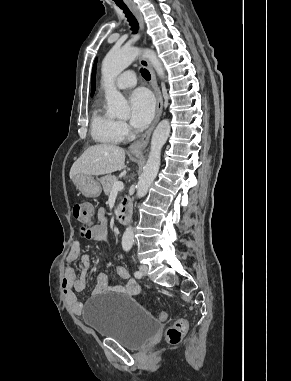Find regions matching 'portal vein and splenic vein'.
<instances>
[{
    "label": "portal vein and splenic vein",
    "instance_id": "1",
    "mask_svg": "<svg viewBox=\"0 0 291 381\" xmlns=\"http://www.w3.org/2000/svg\"><path fill=\"white\" fill-rule=\"evenodd\" d=\"M124 188L123 182L119 181L113 185L112 192H118Z\"/></svg>",
    "mask_w": 291,
    "mask_h": 381
}]
</instances>
